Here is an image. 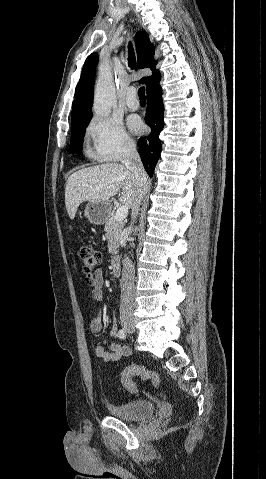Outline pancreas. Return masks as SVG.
I'll return each instance as SVG.
<instances>
[{
    "instance_id": "1",
    "label": "pancreas",
    "mask_w": 266,
    "mask_h": 479,
    "mask_svg": "<svg viewBox=\"0 0 266 479\" xmlns=\"http://www.w3.org/2000/svg\"><path fill=\"white\" fill-rule=\"evenodd\" d=\"M123 227L124 223L116 220L114 214L109 215L105 222L104 231L106 232V237L108 239V252L110 254L114 255L118 253L117 249L120 244Z\"/></svg>"
}]
</instances>
